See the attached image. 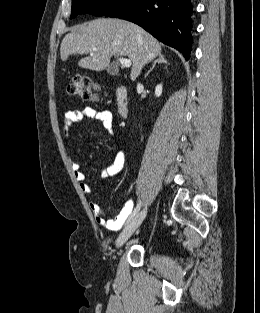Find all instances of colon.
Instances as JSON below:
<instances>
[{
  "mask_svg": "<svg viewBox=\"0 0 260 313\" xmlns=\"http://www.w3.org/2000/svg\"><path fill=\"white\" fill-rule=\"evenodd\" d=\"M99 90L100 87L95 82L83 76L74 77L66 87L68 95L83 100H95L98 97Z\"/></svg>",
  "mask_w": 260,
  "mask_h": 313,
  "instance_id": "colon-1",
  "label": "colon"
}]
</instances>
